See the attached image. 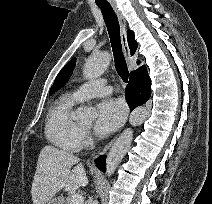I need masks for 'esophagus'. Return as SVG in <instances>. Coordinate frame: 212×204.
<instances>
[{
  "label": "esophagus",
  "instance_id": "34e87169",
  "mask_svg": "<svg viewBox=\"0 0 212 204\" xmlns=\"http://www.w3.org/2000/svg\"><path fill=\"white\" fill-rule=\"evenodd\" d=\"M114 12L116 13L118 20H119V24H120V28H121V41H122V47H123V51H124V55L126 57L127 61H130V49L128 46V41H127V23L126 20L124 18V16L122 15V13L117 9V7H113ZM115 141V139H113L111 142H109L103 149H102V154L106 153L109 148L112 146L113 142Z\"/></svg>",
  "mask_w": 212,
  "mask_h": 204
}]
</instances>
